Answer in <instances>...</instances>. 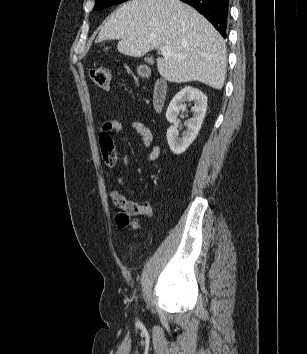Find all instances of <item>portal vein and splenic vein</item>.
I'll use <instances>...</instances> for the list:
<instances>
[{
  "instance_id": "portal-vein-and-splenic-vein-1",
  "label": "portal vein and splenic vein",
  "mask_w": 307,
  "mask_h": 354,
  "mask_svg": "<svg viewBox=\"0 0 307 354\" xmlns=\"http://www.w3.org/2000/svg\"><path fill=\"white\" fill-rule=\"evenodd\" d=\"M160 51H161V54L163 55V57H169V56H172V57H179L178 54L174 53L171 51L170 47L169 46H162L160 48Z\"/></svg>"
}]
</instances>
